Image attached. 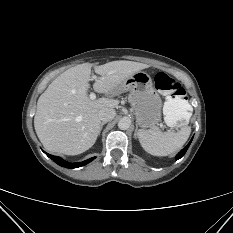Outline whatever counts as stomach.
<instances>
[{
  "instance_id": "obj_1",
  "label": "stomach",
  "mask_w": 233,
  "mask_h": 233,
  "mask_svg": "<svg viewBox=\"0 0 233 233\" xmlns=\"http://www.w3.org/2000/svg\"><path fill=\"white\" fill-rule=\"evenodd\" d=\"M128 91V100L135 112L136 122L142 128H154L161 120V98L155 90L151 76L137 71L117 88Z\"/></svg>"
}]
</instances>
